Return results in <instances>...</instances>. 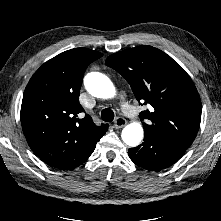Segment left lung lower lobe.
<instances>
[{
    "mask_svg": "<svg viewBox=\"0 0 221 221\" xmlns=\"http://www.w3.org/2000/svg\"><path fill=\"white\" fill-rule=\"evenodd\" d=\"M186 150L158 138L144 135V142L128 150L130 159L138 166L158 171L177 162Z\"/></svg>",
    "mask_w": 221,
    "mask_h": 221,
    "instance_id": "0a47b994",
    "label": "left lung lower lobe"
}]
</instances>
